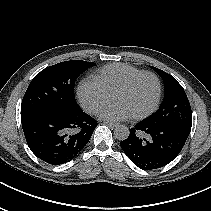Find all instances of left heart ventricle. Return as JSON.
<instances>
[{"label": "left heart ventricle", "instance_id": "left-heart-ventricle-1", "mask_svg": "<svg viewBox=\"0 0 211 211\" xmlns=\"http://www.w3.org/2000/svg\"><path fill=\"white\" fill-rule=\"evenodd\" d=\"M157 85L152 77H143L128 90L113 96V102L122 104L131 115L148 110L155 102Z\"/></svg>", "mask_w": 211, "mask_h": 211}]
</instances>
